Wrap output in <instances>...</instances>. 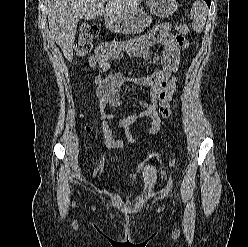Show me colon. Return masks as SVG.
Returning a JSON list of instances; mask_svg holds the SVG:
<instances>
[{"instance_id": "colon-1", "label": "colon", "mask_w": 248, "mask_h": 247, "mask_svg": "<svg viewBox=\"0 0 248 247\" xmlns=\"http://www.w3.org/2000/svg\"><path fill=\"white\" fill-rule=\"evenodd\" d=\"M172 28V24L163 23L153 28L151 35L154 38H162L169 34ZM175 30L182 34L188 35L190 33V28L184 23L174 24ZM99 29L94 24H85L82 26L81 31L76 42L75 51L79 57L85 56L91 52L93 48V40L97 37ZM127 47V42H104L101 43L95 50V53L90 59V66L95 67L104 60L108 55L113 52L122 51ZM85 130H89V126H85Z\"/></svg>"}]
</instances>
